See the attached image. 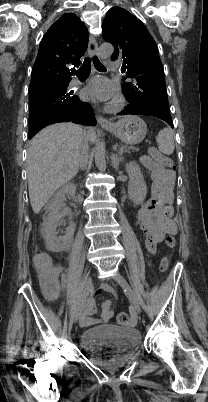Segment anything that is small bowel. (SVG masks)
Returning <instances> with one entry per match:
<instances>
[{
    "label": "small bowel",
    "instance_id": "obj_1",
    "mask_svg": "<svg viewBox=\"0 0 208 402\" xmlns=\"http://www.w3.org/2000/svg\"><path fill=\"white\" fill-rule=\"evenodd\" d=\"M141 163L150 172L152 196L151 199L136 212L135 217L136 224L141 229L146 240L148 252L152 253L156 246L161 243L166 236L175 235L177 233V225L173 220L174 209L172 206V190L175 174L172 170L148 156H143L141 158ZM62 275L66 276L67 272L63 271ZM62 287L67 289L69 284L64 282ZM101 289L105 292L115 294V290L109 284H102ZM102 290H95L94 295L96 298L102 297ZM45 297L48 301H53L57 295H45ZM93 310L94 302L90 299L86 302L85 311L80 318V328L82 330L89 329L90 324L97 322V320H93ZM111 317V302L107 300L102 306L101 321H108ZM63 327L64 329L69 330L71 329L72 324L71 322L66 321L64 322Z\"/></svg>",
    "mask_w": 208,
    "mask_h": 402
}]
</instances>
